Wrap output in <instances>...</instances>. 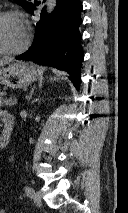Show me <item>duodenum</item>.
I'll return each instance as SVG.
<instances>
[{"label": "duodenum", "instance_id": "1", "mask_svg": "<svg viewBox=\"0 0 128 213\" xmlns=\"http://www.w3.org/2000/svg\"><path fill=\"white\" fill-rule=\"evenodd\" d=\"M2 121H3V129L0 134L1 149L6 148L11 142L12 133L14 129V117L10 114H6L3 117Z\"/></svg>", "mask_w": 128, "mask_h": 213}]
</instances>
